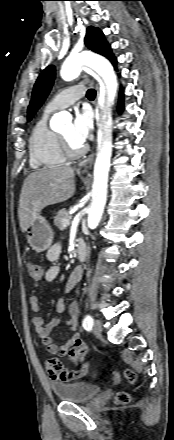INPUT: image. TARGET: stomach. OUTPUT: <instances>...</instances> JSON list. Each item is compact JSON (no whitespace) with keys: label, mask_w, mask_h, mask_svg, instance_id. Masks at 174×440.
Segmentation results:
<instances>
[{"label":"stomach","mask_w":174,"mask_h":440,"mask_svg":"<svg viewBox=\"0 0 174 440\" xmlns=\"http://www.w3.org/2000/svg\"><path fill=\"white\" fill-rule=\"evenodd\" d=\"M53 236L50 224L40 215L26 229L28 244L36 252L47 250L52 244Z\"/></svg>","instance_id":"0dacf381"}]
</instances>
